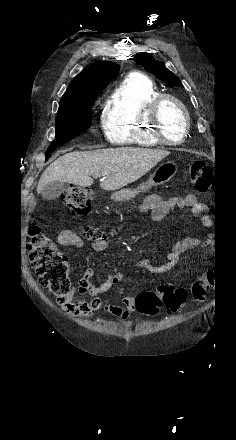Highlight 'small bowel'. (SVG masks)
I'll return each instance as SVG.
<instances>
[{"instance_id": "obj_1", "label": "small bowel", "mask_w": 236, "mask_h": 440, "mask_svg": "<svg viewBox=\"0 0 236 440\" xmlns=\"http://www.w3.org/2000/svg\"><path fill=\"white\" fill-rule=\"evenodd\" d=\"M174 208H191L194 215L205 226L211 225V220L206 213L205 206L198 202L194 194H188L185 197L173 196L166 200L157 194H150L141 203L139 210L142 213H149L151 220L158 222L163 220L169 211ZM57 242L65 247L81 248L84 245L83 240L71 230L62 231L58 235ZM200 245L201 242L198 238L185 236L174 244L165 262L148 264L147 269L154 274H164L177 265L187 251ZM91 247L95 252H104L107 249V242L103 239L93 240ZM92 278L93 271L89 269L80 279L77 291L72 293L66 303L62 304L66 312L77 317L91 316L95 313L104 312L125 320L128 319L130 313L137 310L135 301L139 294L137 296L123 297L122 303L124 308L113 304H104L98 298L100 294L109 291L122 281L123 275L118 269H114L109 273L101 284H96ZM86 294L89 296L88 298L85 297Z\"/></svg>"}]
</instances>
